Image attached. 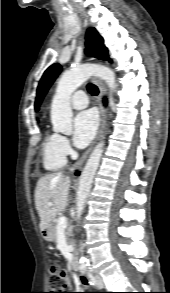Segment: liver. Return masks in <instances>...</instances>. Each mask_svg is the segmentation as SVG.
<instances>
[{"instance_id": "obj_1", "label": "liver", "mask_w": 170, "mask_h": 293, "mask_svg": "<svg viewBox=\"0 0 170 293\" xmlns=\"http://www.w3.org/2000/svg\"><path fill=\"white\" fill-rule=\"evenodd\" d=\"M70 184V177L61 172L45 175L38 180L35 205L40 217L41 231L47 230L56 215L67 207ZM49 202H52L51 206Z\"/></svg>"}]
</instances>
